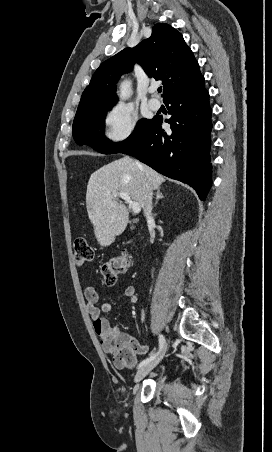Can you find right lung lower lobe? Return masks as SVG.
Here are the masks:
<instances>
[{
    "instance_id": "1",
    "label": "right lung lower lobe",
    "mask_w": 272,
    "mask_h": 452,
    "mask_svg": "<svg viewBox=\"0 0 272 452\" xmlns=\"http://www.w3.org/2000/svg\"><path fill=\"white\" fill-rule=\"evenodd\" d=\"M170 104L171 131L162 129V117H154L142 135L122 151L157 172L187 183L205 200L212 184L209 94L201 76L164 99Z\"/></svg>"
}]
</instances>
